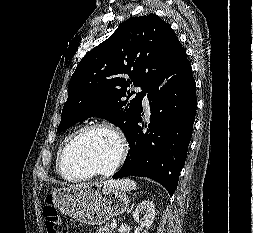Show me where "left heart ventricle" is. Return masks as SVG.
Returning a JSON list of instances; mask_svg holds the SVG:
<instances>
[{"mask_svg": "<svg viewBox=\"0 0 253 233\" xmlns=\"http://www.w3.org/2000/svg\"><path fill=\"white\" fill-rule=\"evenodd\" d=\"M119 144L113 134L105 130L90 131L72 143L64 162L69 176H81L93 170L108 169L115 162Z\"/></svg>", "mask_w": 253, "mask_h": 233, "instance_id": "left-heart-ventricle-1", "label": "left heart ventricle"}]
</instances>
